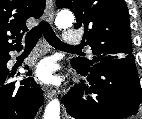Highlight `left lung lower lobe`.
I'll use <instances>...</instances> for the list:
<instances>
[{
  "instance_id": "0a47b994",
  "label": "left lung lower lobe",
  "mask_w": 142,
  "mask_h": 119,
  "mask_svg": "<svg viewBox=\"0 0 142 119\" xmlns=\"http://www.w3.org/2000/svg\"><path fill=\"white\" fill-rule=\"evenodd\" d=\"M77 71L87 81H81L65 96L64 104L72 117L122 119L138 114L142 90L134 59L101 61L86 71Z\"/></svg>"
}]
</instances>
